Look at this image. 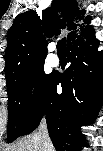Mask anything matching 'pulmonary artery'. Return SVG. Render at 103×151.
I'll return each mask as SVG.
<instances>
[{"label":"pulmonary artery","instance_id":"1","mask_svg":"<svg viewBox=\"0 0 103 151\" xmlns=\"http://www.w3.org/2000/svg\"><path fill=\"white\" fill-rule=\"evenodd\" d=\"M49 64L52 66H56L58 65V57L54 54H51L48 58Z\"/></svg>","mask_w":103,"mask_h":151}]
</instances>
